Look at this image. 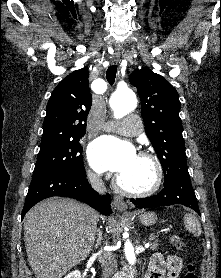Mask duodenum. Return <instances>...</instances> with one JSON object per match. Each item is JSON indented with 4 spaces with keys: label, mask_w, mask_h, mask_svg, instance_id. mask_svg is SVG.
<instances>
[{
    "label": "duodenum",
    "mask_w": 221,
    "mask_h": 278,
    "mask_svg": "<svg viewBox=\"0 0 221 278\" xmlns=\"http://www.w3.org/2000/svg\"><path fill=\"white\" fill-rule=\"evenodd\" d=\"M118 278H131V272L125 271L120 277Z\"/></svg>",
    "instance_id": "duodenum-1"
}]
</instances>
